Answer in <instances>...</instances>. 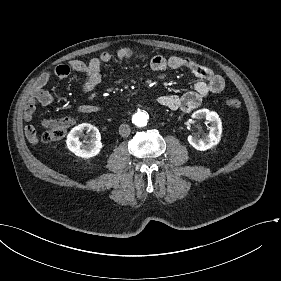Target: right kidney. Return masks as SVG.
Returning a JSON list of instances; mask_svg holds the SVG:
<instances>
[{
  "instance_id": "ca27d5eb",
  "label": "right kidney",
  "mask_w": 281,
  "mask_h": 281,
  "mask_svg": "<svg viewBox=\"0 0 281 281\" xmlns=\"http://www.w3.org/2000/svg\"><path fill=\"white\" fill-rule=\"evenodd\" d=\"M87 131L88 136L91 140L87 144H82L80 137L83 136L84 132ZM103 144L98 129L91 124L83 123L71 130V152L82 159H90L97 156Z\"/></svg>"
}]
</instances>
